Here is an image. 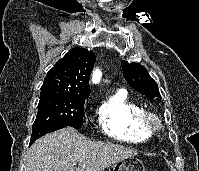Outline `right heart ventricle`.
<instances>
[{"mask_svg":"<svg viewBox=\"0 0 199 171\" xmlns=\"http://www.w3.org/2000/svg\"><path fill=\"white\" fill-rule=\"evenodd\" d=\"M144 108L133 101L126 90L112 91L98 108V122L105 135L127 143H145L152 139L143 119Z\"/></svg>","mask_w":199,"mask_h":171,"instance_id":"e07e8e85","label":"right heart ventricle"}]
</instances>
